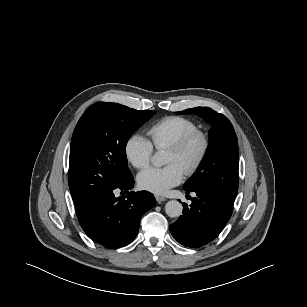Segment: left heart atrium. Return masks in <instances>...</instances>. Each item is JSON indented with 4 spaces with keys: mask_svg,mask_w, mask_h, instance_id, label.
<instances>
[{
    "mask_svg": "<svg viewBox=\"0 0 307 307\" xmlns=\"http://www.w3.org/2000/svg\"><path fill=\"white\" fill-rule=\"evenodd\" d=\"M184 171L176 164L165 167H149L138 174L137 182L141 189L164 194L183 179Z\"/></svg>",
    "mask_w": 307,
    "mask_h": 307,
    "instance_id": "1",
    "label": "left heart atrium"
}]
</instances>
